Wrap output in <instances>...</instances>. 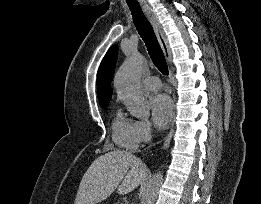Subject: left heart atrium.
Returning <instances> with one entry per match:
<instances>
[{
  "mask_svg": "<svg viewBox=\"0 0 261 204\" xmlns=\"http://www.w3.org/2000/svg\"><path fill=\"white\" fill-rule=\"evenodd\" d=\"M152 119L159 128H166L173 117V103L165 94H156L150 99Z\"/></svg>",
  "mask_w": 261,
  "mask_h": 204,
  "instance_id": "left-heart-atrium-1",
  "label": "left heart atrium"
}]
</instances>
